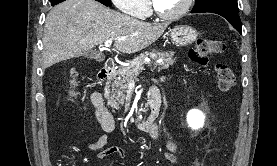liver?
Wrapping results in <instances>:
<instances>
[{
  "mask_svg": "<svg viewBox=\"0 0 277 166\" xmlns=\"http://www.w3.org/2000/svg\"><path fill=\"white\" fill-rule=\"evenodd\" d=\"M168 23H147L114 11L95 0H66L47 15L43 35V68L83 55L107 40L117 50L136 53L154 43Z\"/></svg>",
  "mask_w": 277,
  "mask_h": 166,
  "instance_id": "6515ba94",
  "label": "liver"
}]
</instances>
